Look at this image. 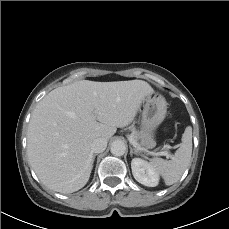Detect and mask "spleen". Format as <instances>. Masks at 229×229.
I'll use <instances>...</instances> for the list:
<instances>
[{
	"label": "spleen",
	"instance_id": "obj_1",
	"mask_svg": "<svg viewBox=\"0 0 229 229\" xmlns=\"http://www.w3.org/2000/svg\"><path fill=\"white\" fill-rule=\"evenodd\" d=\"M192 155V129L187 127L182 135V143L171 160L153 158L150 166L160 174L166 185H172L180 180L189 166Z\"/></svg>",
	"mask_w": 229,
	"mask_h": 229
}]
</instances>
